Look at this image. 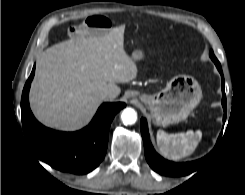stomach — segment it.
Wrapping results in <instances>:
<instances>
[{
	"label": "stomach",
	"instance_id": "1",
	"mask_svg": "<svg viewBox=\"0 0 245 195\" xmlns=\"http://www.w3.org/2000/svg\"><path fill=\"white\" fill-rule=\"evenodd\" d=\"M142 57V50L133 51L134 60H140ZM201 98L202 89L198 81L183 74L173 77L166 87L156 94H138V99L150 110L153 122L163 127L185 120L200 103Z\"/></svg>",
	"mask_w": 245,
	"mask_h": 195
}]
</instances>
